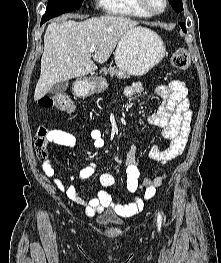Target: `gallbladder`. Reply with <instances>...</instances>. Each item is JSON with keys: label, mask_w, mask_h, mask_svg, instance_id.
Returning a JSON list of instances; mask_svg holds the SVG:
<instances>
[{"label": "gallbladder", "mask_w": 221, "mask_h": 263, "mask_svg": "<svg viewBox=\"0 0 221 263\" xmlns=\"http://www.w3.org/2000/svg\"><path fill=\"white\" fill-rule=\"evenodd\" d=\"M68 87V82L67 81H62L59 83H56L51 89L50 93L53 95H61L66 91Z\"/></svg>", "instance_id": "obj_1"}]
</instances>
